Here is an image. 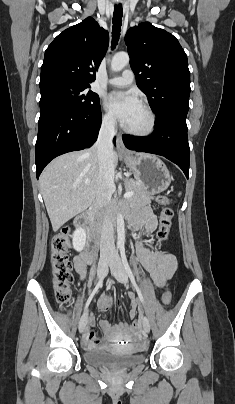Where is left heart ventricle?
Returning <instances> with one entry per match:
<instances>
[{"label": "left heart ventricle", "mask_w": 235, "mask_h": 404, "mask_svg": "<svg viewBox=\"0 0 235 404\" xmlns=\"http://www.w3.org/2000/svg\"><path fill=\"white\" fill-rule=\"evenodd\" d=\"M146 123L147 115L143 108L139 105L130 120L125 125L133 129H142L146 126Z\"/></svg>", "instance_id": "left-heart-ventricle-1"}]
</instances>
